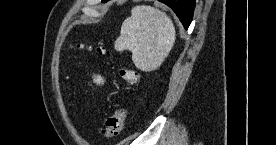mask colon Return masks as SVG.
I'll use <instances>...</instances> for the list:
<instances>
[{"label":"colon","instance_id":"5ec220e1","mask_svg":"<svg viewBox=\"0 0 276 145\" xmlns=\"http://www.w3.org/2000/svg\"><path fill=\"white\" fill-rule=\"evenodd\" d=\"M96 51L100 55L107 53L104 47H97ZM120 77L127 86L135 85L139 80L137 71L131 68H120ZM126 119V111L123 108L115 109L106 119L101 134L107 139L116 138L122 131Z\"/></svg>","mask_w":276,"mask_h":145}]
</instances>
